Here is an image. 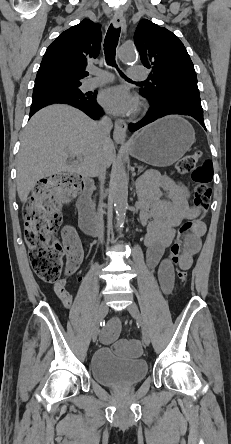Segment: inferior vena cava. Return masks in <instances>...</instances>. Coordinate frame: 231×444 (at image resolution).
Segmentation results:
<instances>
[{
	"mask_svg": "<svg viewBox=\"0 0 231 444\" xmlns=\"http://www.w3.org/2000/svg\"><path fill=\"white\" fill-rule=\"evenodd\" d=\"M99 131L101 138L103 140H107L109 138V132L113 128V123L111 119L107 116H105L99 123H98ZM106 172V165L103 159H100L93 167L92 174L94 177H98L100 180H102L105 176ZM101 194L104 192L102 189L99 191ZM98 205L96 208V215H97V221H98V230H100L99 235L103 236L104 232H106L108 229L106 227H103L106 223V219L103 216V213L105 212V206L103 198H97L95 200Z\"/></svg>",
	"mask_w": 231,
	"mask_h": 444,
	"instance_id": "inferior-vena-cava-1",
	"label": "inferior vena cava"
}]
</instances>
